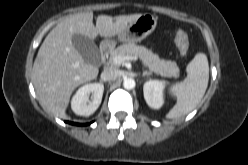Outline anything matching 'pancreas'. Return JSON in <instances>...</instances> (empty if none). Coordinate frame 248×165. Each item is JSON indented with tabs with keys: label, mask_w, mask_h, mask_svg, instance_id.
Instances as JSON below:
<instances>
[{
	"label": "pancreas",
	"mask_w": 248,
	"mask_h": 165,
	"mask_svg": "<svg viewBox=\"0 0 248 165\" xmlns=\"http://www.w3.org/2000/svg\"><path fill=\"white\" fill-rule=\"evenodd\" d=\"M132 55L138 56L144 66L158 75L169 78H178L180 75V69L175 61L160 59L152 50L147 49L144 46L136 45L135 43L123 44L111 51L110 62L114 65H118L113 62L114 57Z\"/></svg>",
	"instance_id": "1"
}]
</instances>
